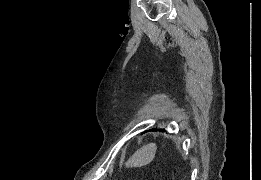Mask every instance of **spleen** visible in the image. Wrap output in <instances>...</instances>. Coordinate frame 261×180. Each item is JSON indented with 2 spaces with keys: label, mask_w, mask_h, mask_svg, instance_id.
I'll list each match as a JSON object with an SVG mask.
<instances>
[{
  "label": "spleen",
  "mask_w": 261,
  "mask_h": 180,
  "mask_svg": "<svg viewBox=\"0 0 261 180\" xmlns=\"http://www.w3.org/2000/svg\"><path fill=\"white\" fill-rule=\"evenodd\" d=\"M157 146L156 144H146L142 146L139 150L134 152L133 156L125 162L126 168H142V166H147L155 158Z\"/></svg>",
  "instance_id": "obj_1"
}]
</instances>
